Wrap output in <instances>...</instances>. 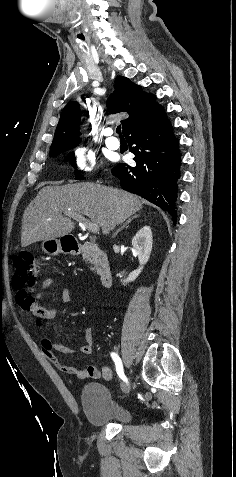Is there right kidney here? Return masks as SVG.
<instances>
[{
  "label": "right kidney",
  "mask_w": 236,
  "mask_h": 477,
  "mask_svg": "<svg viewBox=\"0 0 236 477\" xmlns=\"http://www.w3.org/2000/svg\"><path fill=\"white\" fill-rule=\"evenodd\" d=\"M132 246L134 252L139 259V268L129 274V276L123 280V284L134 281L141 273L143 266L148 262L152 251V231L149 226H144L138 231V233L132 239Z\"/></svg>",
  "instance_id": "ca27d5eb"
}]
</instances>
